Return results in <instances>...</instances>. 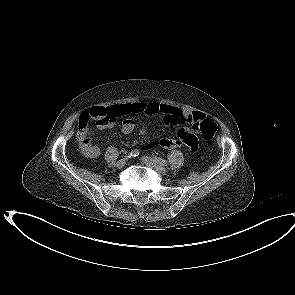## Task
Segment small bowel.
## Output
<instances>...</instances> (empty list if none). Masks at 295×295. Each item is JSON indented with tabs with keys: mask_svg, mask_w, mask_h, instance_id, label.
Masks as SVG:
<instances>
[{
	"mask_svg": "<svg viewBox=\"0 0 295 295\" xmlns=\"http://www.w3.org/2000/svg\"><path fill=\"white\" fill-rule=\"evenodd\" d=\"M105 108L108 109L109 118L100 122L98 128L100 130L110 129L115 125L114 119L116 117L125 116L127 118L123 120L121 127L124 134H130L134 130L135 122L132 118L128 117L131 114H144L148 118L160 116L163 123L167 126L198 122L204 118V113L202 112L182 110L158 101L124 103ZM141 133L145 134L146 129L143 128ZM157 144L166 149H175L181 146H186L191 150H195L198 141L191 130L182 128L178 130L174 137L160 138L157 141ZM81 150L84 155L89 158H96L100 154L98 147L89 144L83 146Z\"/></svg>",
	"mask_w": 295,
	"mask_h": 295,
	"instance_id": "1",
	"label": "small bowel"
}]
</instances>
